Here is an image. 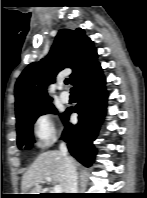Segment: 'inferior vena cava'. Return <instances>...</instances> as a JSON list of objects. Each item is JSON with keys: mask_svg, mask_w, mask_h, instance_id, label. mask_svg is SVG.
I'll use <instances>...</instances> for the list:
<instances>
[{"mask_svg": "<svg viewBox=\"0 0 147 198\" xmlns=\"http://www.w3.org/2000/svg\"><path fill=\"white\" fill-rule=\"evenodd\" d=\"M60 152L65 160L66 188L65 193H78V174L72 158L68 156L67 147L64 142L60 144Z\"/></svg>", "mask_w": 147, "mask_h": 198, "instance_id": "inferior-vena-cava-1", "label": "inferior vena cava"}]
</instances>
